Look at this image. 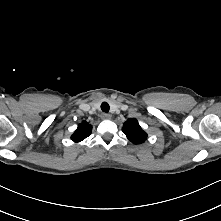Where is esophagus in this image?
<instances>
[{
  "label": "esophagus",
  "mask_w": 221,
  "mask_h": 221,
  "mask_svg": "<svg viewBox=\"0 0 221 221\" xmlns=\"http://www.w3.org/2000/svg\"><path fill=\"white\" fill-rule=\"evenodd\" d=\"M101 118H102V119H111V115H110V114H107V113H103V114L101 115Z\"/></svg>",
  "instance_id": "34e87169"
}]
</instances>
